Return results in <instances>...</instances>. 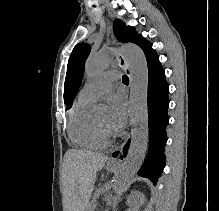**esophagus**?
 I'll use <instances>...</instances> for the list:
<instances>
[{
    "label": "esophagus",
    "mask_w": 219,
    "mask_h": 211,
    "mask_svg": "<svg viewBox=\"0 0 219 211\" xmlns=\"http://www.w3.org/2000/svg\"><path fill=\"white\" fill-rule=\"evenodd\" d=\"M116 60L118 62V65L120 66V68H122L123 70H128V67H129L128 61L124 58L122 53H120V52L116 53ZM110 161L114 164H120V160H117L114 158H112Z\"/></svg>",
    "instance_id": "esophagus-1"
}]
</instances>
